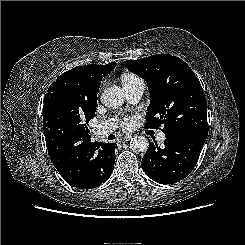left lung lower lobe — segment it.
<instances>
[{"mask_svg": "<svg viewBox=\"0 0 245 245\" xmlns=\"http://www.w3.org/2000/svg\"><path fill=\"white\" fill-rule=\"evenodd\" d=\"M205 140L206 136L192 133L166 137L163 148L149 143L142 159L143 170L157 183L179 182L194 169Z\"/></svg>", "mask_w": 245, "mask_h": 245, "instance_id": "0a47b994", "label": "left lung lower lobe"}]
</instances>
